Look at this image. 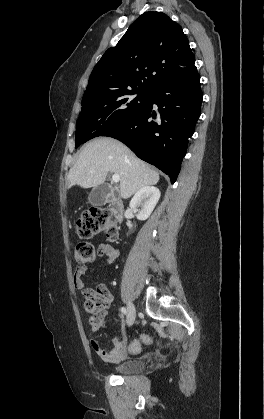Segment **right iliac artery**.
<instances>
[{"label":"right iliac artery","instance_id":"obj_1","mask_svg":"<svg viewBox=\"0 0 264 419\" xmlns=\"http://www.w3.org/2000/svg\"><path fill=\"white\" fill-rule=\"evenodd\" d=\"M121 312H122V314H123V315H125V314H126V312H127V311H126V308H125V307H122V308H121Z\"/></svg>","mask_w":264,"mask_h":419}]
</instances>
